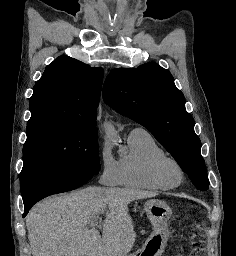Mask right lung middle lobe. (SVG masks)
<instances>
[{"instance_id":"1","label":"right lung middle lobe","mask_w":236,"mask_h":256,"mask_svg":"<svg viewBox=\"0 0 236 256\" xmlns=\"http://www.w3.org/2000/svg\"><path fill=\"white\" fill-rule=\"evenodd\" d=\"M96 126L40 121L27 124L20 173L21 194L30 188L100 170Z\"/></svg>"}]
</instances>
